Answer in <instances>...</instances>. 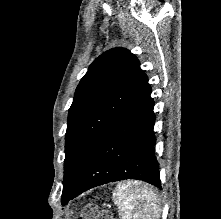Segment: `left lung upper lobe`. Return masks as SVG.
<instances>
[{"mask_svg":"<svg viewBox=\"0 0 221 219\" xmlns=\"http://www.w3.org/2000/svg\"><path fill=\"white\" fill-rule=\"evenodd\" d=\"M147 85L138 59L124 48L106 51L89 66L69 109L62 204L105 132Z\"/></svg>","mask_w":221,"mask_h":219,"instance_id":"1","label":"left lung upper lobe"}]
</instances>
